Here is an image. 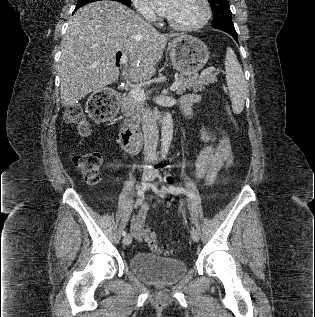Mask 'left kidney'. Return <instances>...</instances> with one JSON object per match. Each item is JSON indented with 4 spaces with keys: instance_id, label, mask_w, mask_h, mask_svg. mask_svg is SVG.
<instances>
[{
    "instance_id": "5707ae66",
    "label": "left kidney",
    "mask_w": 315,
    "mask_h": 317,
    "mask_svg": "<svg viewBox=\"0 0 315 317\" xmlns=\"http://www.w3.org/2000/svg\"><path fill=\"white\" fill-rule=\"evenodd\" d=\"M201 131H202L201 139L207 142L209 140L208 135H206L207 132L205 131V129H202Z\"/></svg>"
}]
</instances>
